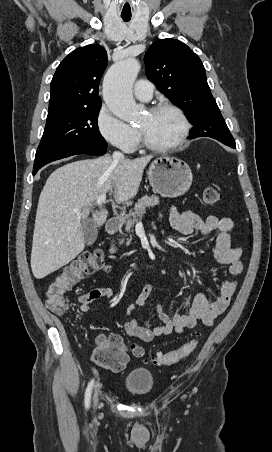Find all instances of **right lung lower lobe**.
Instances as JSON below:
<instances>
[{
    "mask_svg": "<svg viewBox=\"0 0 272 452\" xmlns=\"http://www.w3.org/2000/svg\"><path fill=\"white\" fill-rule=\"evenodd\" d=\"M106 152V148H92L84 145H74L62 149L37 151L33 166V175H35L41 167L55 160L78 154L101 156Z\"/></svg>",
    "mask_w": 272,
    "mask_h": 452,
    "instance_id": "obj_1",
    "label": "right lung lower lobe"
}]
</instances>
